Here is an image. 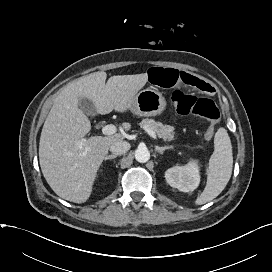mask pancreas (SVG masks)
Here are the masks:
<instances>
[{
  "mask_svg": "<svg viewBox=\"0 0 272 272\" xmlns=\"http://www.w3.org/2000/svg\"><path fill=\"white\" fill-rule=\"evenodd\" d=\"M141 127L153 130L159 138L164 141H172L175 139L174 127L155 121L153 119H144L140 123Z\"/></svg>",
  "mask_w": 272,
  "mask_h": 272,
  "instance_id": "pancreas-1",
  "label": "pancreas"
}]
</instances>
